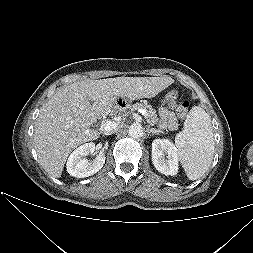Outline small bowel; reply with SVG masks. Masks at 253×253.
I'll return each mask as SVG.
<instances>
[{
  "instance_id": "c3829d8e",
  "label": "small bowel",
  "mask_w": 253,
  "mask_h": 253,
  "mask_svg": "<svg viewBox=\"0 0 253 253\" xmlns=\"http://www.w3.org/2000/svg\"><path fill=\"white\" fill-rule=\"evenodd\" d=\"M160 125L163 128H167L171 131L176 130L178 127L177 118L175 113L167 107H161L159 109Z\"/></svg>"
}]
</instances>
